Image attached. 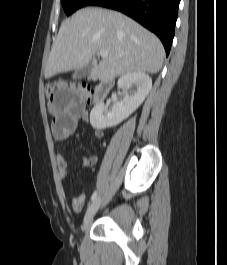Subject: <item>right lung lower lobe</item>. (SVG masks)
I'll return each instance as SVG.
<instances>
[{"instance_id":"1","label":"right lung lower lobe","mask_w":227,"mask_h":265,"mask_svg":"<svg viewBox=\"0 0 227 265\" xmlns=\"http://www.w3.org/2000/svg\"><path fill=\"white\" fill-rule=\"evenodd\" d=\"M180 0H93L89 5L115 9L155 33L168 56L174 37Z\"/></svg>"}]
</instances>
